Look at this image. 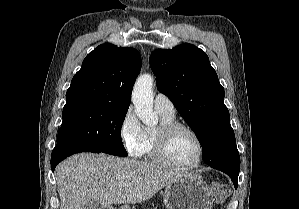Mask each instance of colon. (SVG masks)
I'll return each instance as SVG.
<instances>
[{"instance_id":"obj_1","label":"colon","mask_w":299,"mask_h":209,"mask_svg":"<svg viewBox=\"0 0 299 209\" xmlns=\"http://www.w3.org/2000/svg\"><path fill=\"white\" fill-rule=\"evenodd\" d=\"M212 191L216 202L222 203L230 195L231 188L227 184L216 182L212 184Z\"/></svg>"}]
</instances>
